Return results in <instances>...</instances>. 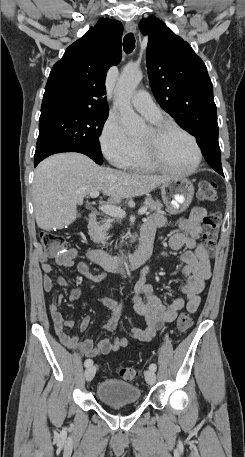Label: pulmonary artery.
Returning a JSON list of instances; mask_svg holds the SVG:
<instances>
[{
	"instance_id": "obj_1",
	"label": "pulmonary artery",
	"mask_w": 245,
	"mask_h": 457,
	"mask_svg": "<svg viewBox=\"0 0 245 457\" xmlns=\"http://www.w3.org/2000/svg\"><path fill=\"white\" fill-rule=\"evenodd\" d=\"M133 107L146 118L155 120L160 116L159 107L151 100L150 93H135L130 99Z\"/></svg>"
}]
</instances>
